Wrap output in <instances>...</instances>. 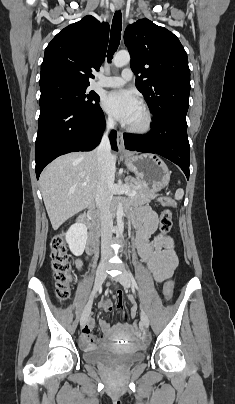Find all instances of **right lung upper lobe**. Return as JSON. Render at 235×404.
<instances>
[{
  "label": "right lung upper lobe",
  "mask_w": 235,
  "mask_h": 404,
  "mask_svg": "<svg viewBox=\"0 0 235 404\" xmlns=\"http://www.w3.org/2000/svg\"><path fill=\"white\" fill-rule=\"evenodd\" d=\"M108 38V23L90 15L64 28L45 49L40 85L59 81L89 86L92 69L98 70L105 59Z\"/></svg>",
  "instance_id": "obj_1"
}]
</instances>
